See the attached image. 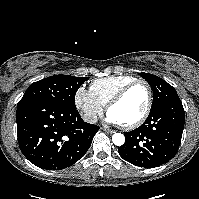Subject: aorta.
Returning a JSON list of instances; mask_svg holds the SVG:
<instances>
[{
	"label": "aorta",
	"instance_id": "obj_1",
	"mask_svg": "<svg viewBox=\"0 0 199 199\" xmlns=\"http://www.w3.org/2000/svg\"><path fill=\"white\" fill-rule=\"evenodd\" d=\"M112 141L116 146H122L125 142V137L121 133H115L112 136Z\"/></svg>",
	"mask_w": 199,
	"mask_h": 199
}]
</instances>
